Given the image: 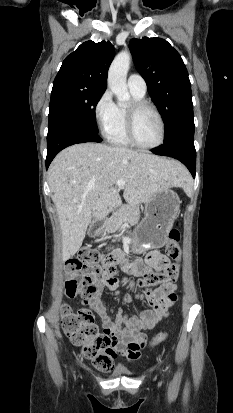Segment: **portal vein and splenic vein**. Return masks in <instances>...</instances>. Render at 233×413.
Masks as SVG:
<instances>
[{"instance_id": "obj_1", "label": "portal vein and splenic vein", "mask_w": 233, "mask_h": 413, "mask_svg": "<svg viewBox=\"0 0 233 413\" xmlns=\"http://www.w3.org/2000/svg\"><path fill=\"white\" fill-rule=\"evenodd\" d=\"M125 181L124 180H117L116 182H115V185L118 187V188H124V186H125Z\"/></svg>"}]
</instances>
